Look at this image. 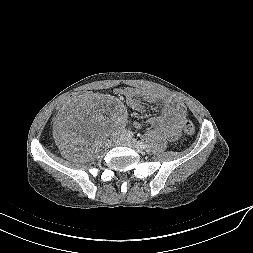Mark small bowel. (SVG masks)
<instances>
[{
    "label": "small bowel",
    "mask_w": 253,
    "mask_h": 253,
    "mask_svg": "<svg viewBox=\"0 0 253 253\" xmlns=\"http://www.w3.org/2000/svg\"><path fill=\"white\" fill-rule=\"evenodd\" d=\"M116 93L124 98L127 106L133 110L144 111V102L158 108L159 114L148 121L150 126L171 142L179 140L186 119V108L179 100L130 87L117 89ZM66 125L65 121H61L59 129L64 132ZM134 126L140 128L141 124L136 121Z\"/></svg>",
    "instance_id": "small-bowel-1"
}]
</instances>
